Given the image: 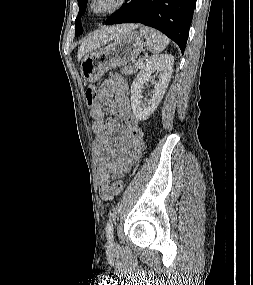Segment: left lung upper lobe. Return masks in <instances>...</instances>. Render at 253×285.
Returning a JSON list of instances; mask_svg holds the SVG:
<instances>
[{
  "instance_id": "5c2ea615",
  "label": "left lung upper lobe",
  "mask_w": 253,
  "mask_h": 285,
  "mask_svg": "<svg viewBox=\"0 0 253 285\" xmlns=\"http://www.w3.org/2000/svg\"><path fill=\"white\" fill-rule=\"evenodd\" d=\"M87 1L88 0H78L79 13H78V17H77V19L75 21V33H76V36H78V35L83 33V29H82L81 25L79 24V18L86 11Z\"/></svg>"
}]
</instances>
